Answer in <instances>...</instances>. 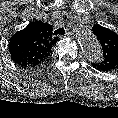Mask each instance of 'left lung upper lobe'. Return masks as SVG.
<instances>
[{"label": "left lung upper lobe", "mask_w": 118, "mask_h": 118, "mask_svg": "<svg viewBox=\"0 0 118 118\" xmlns=\"http://www.w3.org/2000/svg\"><path fill=\"white\" fill-rule=\"evenodd\" d=\"M92 31L102 46L104 57L100 63H92V66L105 72L118 68V35L99 24L94 25Z\"/></svg>", "instance_id": "1"}]
</instances>
